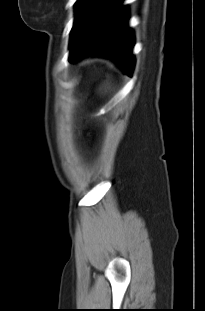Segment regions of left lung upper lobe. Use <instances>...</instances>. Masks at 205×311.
Instances as JSON below:
<instances>
[{"mask_svg": "<svg viewBox=\"0 0 205 311\" xmlns=\"http://www.w3.org/2000/svg\"><path fill=\"white\" fill-rule=\"evenodd\" d=\"M120 0H78L76 18L71 32V49L79 46L114 12Z\"/></svg>", "mask_w": 205, "mask_h": 311, "instance_id": "left-lung-upper-lobe-1", "label": "left lung upper lobe"}]
</instances>
